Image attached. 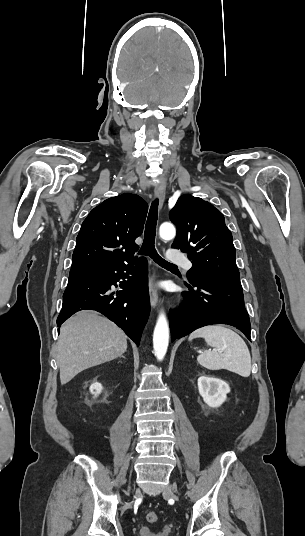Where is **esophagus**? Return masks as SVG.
<instances>
[{"label": "esophagus", "mask_w": 305, "mask_h": 536, "mask_svg": "<svg viewBox=\"0 0 305 536\" xmlns=\"http://www.w3.org/2000/svg\"><path fill=\"white\" fill-rule=\"evenodd\" d=\"M154 194H155V198H158L159 207L161 208L165 200V195H166V179L165 178H160V180L156 183ZM149 297H150L151 306L156 307L158 303V293L154 284L153 273H151L149 277Z\"/></svg>", "instance_id": "obj_1"}]
</instances>
